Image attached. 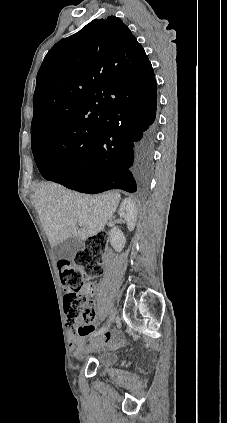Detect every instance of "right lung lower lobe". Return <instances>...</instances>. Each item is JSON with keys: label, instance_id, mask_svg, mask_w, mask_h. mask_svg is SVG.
<instances>
[{"label": "right lung lower lobe", "instance_id": "right-lung-lower-lobe-1", "mask_svg": "<svg viewBox=\"0 0 227 423\" xmlns=\"http://www.w3.org/2000/svg\"><path fill=\"white\" fill-rule=\"evenodd\" d=\"M157 91L128 97L108 108V123L95 139L94 148L71 173L53 181L89 194L110 189L136 192L146 185L152 164Z\"/></svg>", "mask_w": 227, "mask_h": 423}]
</instances>
